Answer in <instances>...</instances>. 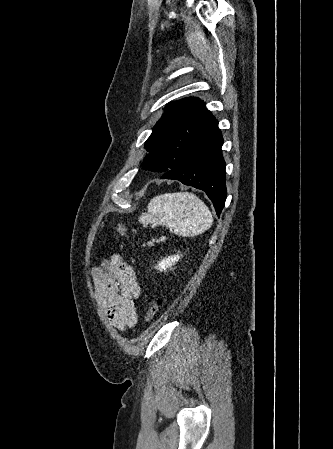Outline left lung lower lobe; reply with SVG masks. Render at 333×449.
Returning a JSON list of instances; mask_svg holds the SVG:
<instances>
[{"label": "left lung lower lobe", "instance_id": "0a47b994", "mask_svg": "<svg viewBox=\"0 0 333 449\" xmlns=\"http://www.w3.org/2000/svg\"><path fill=\"white\" fill-rule=\"evenodd\" d=\"M222 144L223 138L218 128V121L210 114L199 130L184 162L161 176V179L179 180L185 185L204 191L213 202L218 216L227 196ZM143 166L152 170L155 161L151 157H146Z\"/></svg>", "mask_w": 333, "mask_h": 449}]
</instances>
